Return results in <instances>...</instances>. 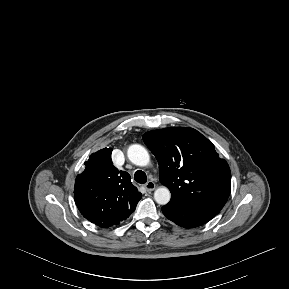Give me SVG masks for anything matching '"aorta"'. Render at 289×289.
Wrapping results in <instances>:
<instances>
[{
  "label": "aorta",
  "mask_w": 289,
  "mask_h": 289,
  "mask_svg": "<svg viewBox=\"0 0 289 289\" xmlns=\"http://www.w3.org/2000/svg\"><path fill=\"white\" fill-rule=\"evenodd\" d=\"M129 160L137 166H147L150 162L148 151L139 144L130 145L127 150ZM171 198L167 187H159L154 192V199L160 205H166Z\"/></svg>",
  "instance_id": "obj_1"
}]
</instances>
